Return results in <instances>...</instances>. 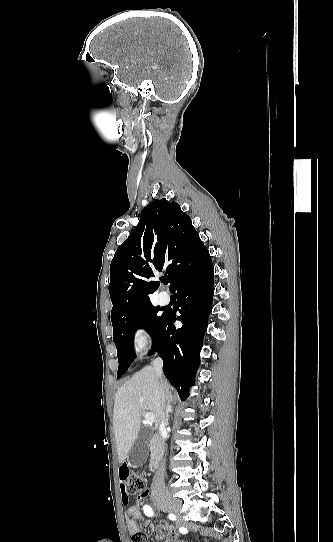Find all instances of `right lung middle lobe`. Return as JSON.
Masks as SVG:
<instances>
[{"instance_id": "1", "label": "right lung middle lobe", "mask_w": 333, "mask_h": 542, "mask_svg": "<svg viewBox=\"0 0 333 542\" xmlns=\"http://www.w3.org/2000/svg\"><path fill=\"white\" fill-rule=\"evenodd\" d=\"M160 310L159 307H155L150 303L111 320L113 340L117 347L119 362L117 378H120L126 372L136 357L133 340L138 329H145L151 335L153 344L159 326L166 316L165 312L159 314Z\"/></svg>"}]
</instances>
